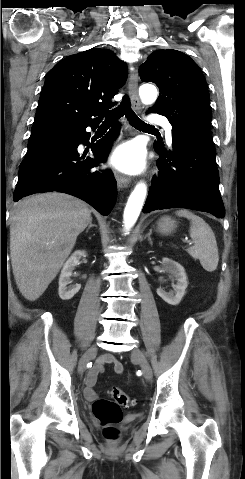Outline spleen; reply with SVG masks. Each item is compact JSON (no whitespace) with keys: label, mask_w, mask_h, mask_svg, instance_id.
Segmentation results:
<instances>
[{"label":"spleen","mask_w":245,"mask_h":479,"mask_svg":"<svg viewBox=\"0 0 245 479\" xmlns=\"http://www.w3.org/2000/svg\"><path fill=\"white\" fill-rule=\"evenodd\" d=\"M175 213L191 221L189 232L194 245L189 247L187 252L194 259H198L206 271L216 270L219 254L216 238L211 227L201 217L189 210H178Z\"/></svg>","instance_id":"spleen-1"}]
</instances>
